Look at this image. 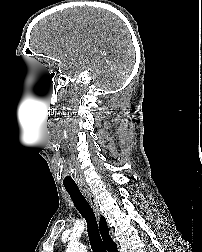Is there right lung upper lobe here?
<instances>
[{
    "label": "right lung upper lobe",
    "instance_id": "cb5924a9",
    "mask_svg": "<svg viewBox=\"0 0 202 252\" xmlns=\"http://www.w3.org/2000/svg\"><path fill=\"white\" fill-rule=\"evenodd\" d=\"M100 233L103 238L104 245L109 252H118L117 244L112 241L109 237V228L107 226L105 218L102 216L100 218Z\"/></svg>",
    "mask_w": 202,
    "mask_h": 252
}]
</instances>
